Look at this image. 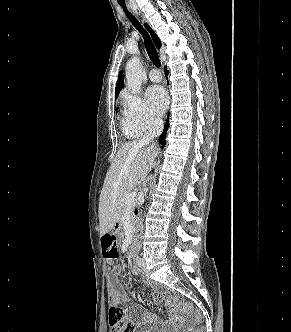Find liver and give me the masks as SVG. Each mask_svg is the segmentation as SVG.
Segmentation results:
<instances>
[{
  "label": "liver",
  "instance_id": "1",
  "mask_svg": "<svg viewBox=\"0 0 291 332\" xmlns=\"http://www.w3.org/2000/svg\"><path fill=\"white\" fill-rule=\"evenodd\" d=\"M157 155V146L139 141L127 142L111 163L99 198L100 235L109 232L121 218L125 195L145 181Z\"/></svg>",
  "mask_w": 291,
  "mask_h": 332
}]
</instances>
